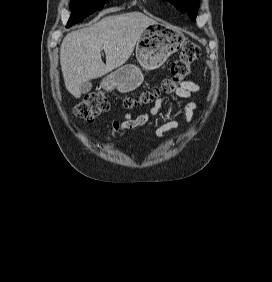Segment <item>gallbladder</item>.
Returning <instances> with one entry per match:
<instances>
[{
  "label": "gallbladder",
  "mask_w": 272,
  "mask_h": 282,
  "mask_svg": "<svg viewBox=\"0 0 272 282\" xmlns=\"http://www.w3.org/2000/svg\"><path fill=\"white\" fill-rule=\"evenodd\" d=\"M91 88H92L91 83L90 82H85L81 86V93L82 94H86V93H88L91 90Z\"/></svg>",
  "instance_id": "bac80fb5"
}]
</instances>
